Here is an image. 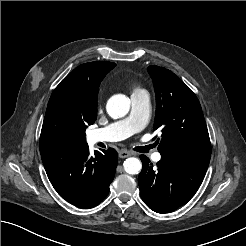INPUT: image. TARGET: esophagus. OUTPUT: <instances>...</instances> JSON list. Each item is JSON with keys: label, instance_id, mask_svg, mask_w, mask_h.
Masks as SVG:
<instances>
[{"label": "esophagus", "instance_id": "obj_1", "mask_svg": "<svg viewBox=\"0 0 246 246\" xmlns=\"http://www.w3.org/2000/svg\"><path fill=\"white\" fill-rule=\"evenodd\" d=\"M131 155H132V153L129 152V151H126V150H121V151L119 152V157H120V158H127V157H129V156H131Z\"/></svg>", "mask_w": 246, "mask_h": 246}]
</instances>
